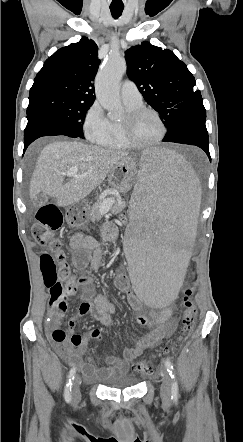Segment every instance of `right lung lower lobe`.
Returning a JSON list of instances; mask_svg holds the SVG:
<instances>
[{"instance_id": "1", "label": "right lung lower lobe", "mask_w": 243, "mask_h": 442, "mask_svg": "<svg viewBox=\"0 0 243 442\" xmlns=\"http://www.w3.org/2000/svg\"><path fill=\"white\" fill-rule=\"evenodd\" d=\"M55 135L78 137L68 126L52 117L40 114L28 117V123L24 130V151L37 138Z\"/></svg>"}]
</instances>
